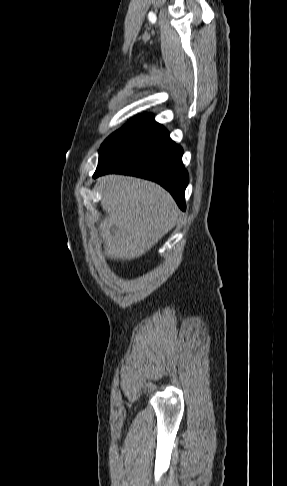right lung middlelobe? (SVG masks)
I'll use <instances>...</instances> for the list:
<instances>
[{
    "mask_svg": "<svg viewBox=\"0 0 287 486\" xmlns=\"http://www.w3.org/2000/svg\"><path fill=\"white\" fill-rule=\"evenodd\" d=\"M158 125L159 123L155 122L151 115L138 116L130 120L103 142L99 150V162L142 137Z\"/></svg>",
    "mask_w": 287,
    "mask_h": 486,
    "instance_id": "1",
    "label": "right lung middle lobe"
}]
</instances>
